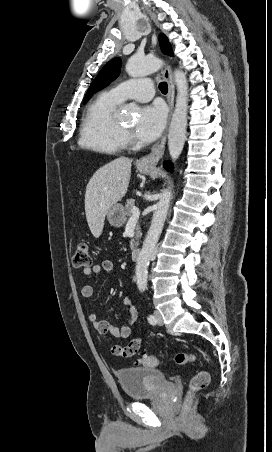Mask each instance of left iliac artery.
I'll list each match as a JSON object with an SVG mask.
<instances>
[{"mask_svg":"<svg viewBox=\"0 0 272 452\" xmlns=\"http://www.w3.org/2000/svg\"><path fill=\"white\" fill-rule=\"evenodd\" d=\"M147 319L150 324H156L157 322L156 317L154 315H149Z\"/></svg>","mask_w":272,"mask_h":452,"instance_id":"obj_1","label":"left iliac artery"}]
</instances>
